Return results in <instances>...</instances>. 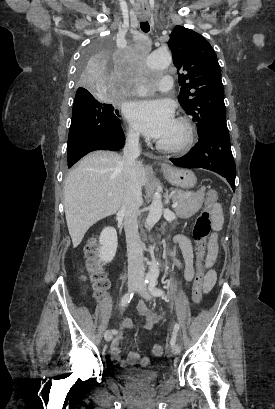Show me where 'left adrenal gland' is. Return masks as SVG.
<instances>
[{
    "mask_svg": "<svg viewBox=\"0 0 275 409\" xmlns=\"http://www.w3.org/2000/svg\"><path fill=\"white\" fill-rule=\"evenodd\" d=\"M166 205H168V200H166Z\"/></svg>",
    "mask_w": 275,
    "mask_h": 409,
    "instance_id": "left-adrenal-gland-1",
    "label": "left adrenal gland"
}]
</instances>
